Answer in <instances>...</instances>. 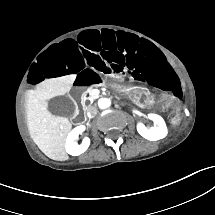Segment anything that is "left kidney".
<instances>
[{
	"instance_id": "1",
	"label": "left kidney",
	"mask_w": 215,
	"mask_h": 215,
	"mask_svg": "<svg viewBox=\"0 0 215 215\" xmlns=\"http://www.w3.org/2000/svg\"><path fill=\"white\" fill-rule=\"evenodd\" d=\"M147 117L153 120L155 123L154 127L147 128L143 123L137 125L138 133L151 141L160 140L167 136L168 128L165 120L158 114L148 113Z\"/></svg>"
}]
</instances>
